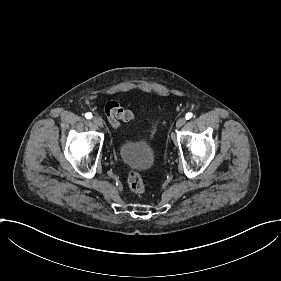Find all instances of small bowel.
<instances>
[{
    "instance_id": "c3829d8e",
    "label": "small bowel",
    "mask_w": 281,
    "mask_h": 281,
    "mask_svg": "<svg viewBox=\"0 0 281 281\" xmlns=\"http://www.w3.org/2000/svg\"><path fill=\"white\" fill-rule=\"evenodd\" d=\"M107 120L113 127H119L121 122H132L135 118L132 111L122 108L116 101L108 104L106 109Z\"/></svg>"
}]
</instances>
